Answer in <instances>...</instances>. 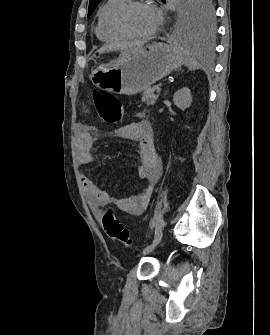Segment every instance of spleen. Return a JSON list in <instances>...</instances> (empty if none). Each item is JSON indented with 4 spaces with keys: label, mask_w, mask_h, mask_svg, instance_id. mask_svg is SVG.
<instances>
[{
    "label": "spleen",
    "mask_w": 270,
    "mask_h": 335,
    "mask_svg": "<svg viewBox=\"0 0 270 335\" xmlns=\"http://www.w3.org/2000/svg\"><path fill=\"white\" fill-rule=\"evenodd\" d=\"M190 56H192L190 50H184L185 64L189 66L190 70H194V68H197L198 62L195 60V58H190Z\"/></svg>",
    "instance_id": "3e777b00"
}]
</instances>
